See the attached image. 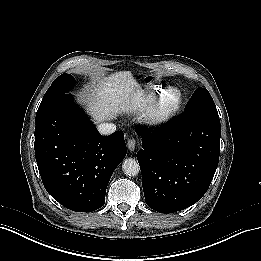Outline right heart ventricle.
I'll use <instances>...</instances> for the list:
<instances>
[{
    "instance_id": "e07e8e85",
    "label": "right heart ventricle",
    "mask_w": 261,
    "mask_h": 261,
    "mask_svg": "<svg viewBox=\"0 0 261 261\" xmlns=\"http://www.w3.org/2000/svg\"><path fill=\"white\" fill-rule=\"evenodd\" d=\"M155 92H151L150 94H148V95H146L145 96V99H144V102L145 103H143V104H139V107H138V111H140V110H142L143 108H144V106H146L147 105V102L150 100V99H152L153 97H155Z\"/></svg>"
}]
</instances>
